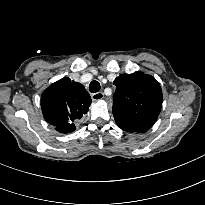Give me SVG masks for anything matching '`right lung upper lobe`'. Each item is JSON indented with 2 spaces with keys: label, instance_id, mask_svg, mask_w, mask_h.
I'll return each mask as SVG.
<instances>
[{
  "label": "right lung upper lobe",
  "instance_id": "cb5924a9",
  "mask_svg": "<svg viewBox=\"0 0 205 205\" xmlns=\"http://www.w3.org/2000/svg\"><path fill=\"white\" fill-rule=\"evenodd\" d=\"M91 98L84 86L64 77L51 84L41 96L45 120L61 133L75 130L74 122L89 110Z\"/></svg>",
  "mask_w": 205,
  "mask_h": 205
}]
</instances>
